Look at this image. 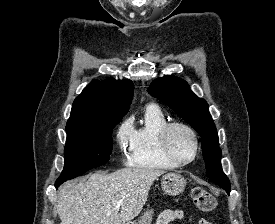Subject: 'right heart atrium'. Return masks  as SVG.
<instances>
[{
    "label": "right heart atrium",
    "mask_w": 275,
    "mask_h": 224,
    "mask_svg": "<svg viewBox=\"0 0 275 224\" xmlns=\"http://www.w3.org/2000/svg\"><path fill=\"white\" fill-rule=\"evenodd\" d=\"M132 140V125L129 121L123 122L117 132L116 141L121 151H125L130 147Z\"/></svg>",
    "instance_id": "d8ad5b80"
}]
</instances>
